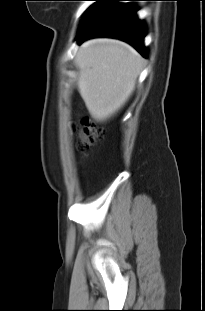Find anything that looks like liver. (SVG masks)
Instances as JSON below:
<instances>
[{"mask_svg":"<svg viewBox=\"0 0 205 311\" xmlns=\"http://www.w3.org/2000/svg\"><path fill=\"white\" fill-rule=\"evenodd\" d=\"M143 58L112 39L86 42L77 52L78 90L93 119L104 121L129 99L143 68Z\"/></svg>","mask_w":205,"mask_h":311,"instance_id":"liver-1","label":"liver"}]
</instances>
